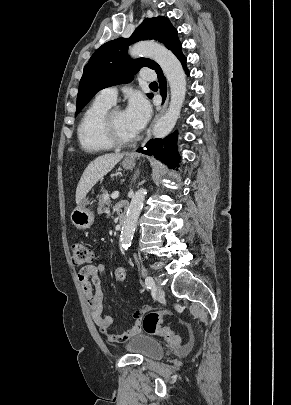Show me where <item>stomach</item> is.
Segmentation results:
<instances>
[{
    "label": "stomach",
    "mask_w": 291,
    "mask_h": 405,
    "mask_svg": "<svg viewBox=\"0 0 291 405\" xmlns=\"http://www.w3.org/2000/svg\"><path fill=\"white\" fill-rule=\"evenodd\" d=\"M122 166L124 169L130 170L135 166V160L125 158L122 161ZM88 204V198H84L71 213V221L78 229L90 228L94 222V212L88 208Z\"/></svg>",
    "instance_id": "obj_1"
}]
</instances>
